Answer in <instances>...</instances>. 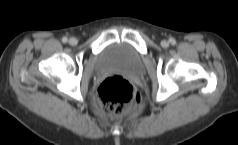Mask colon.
I'll return each mask as SVG.
<instances>
[{"mask_svg": "<svg viewBox=\"0 0 238 145\" xmlns=\"http://www.w3.org/2000/svg\"><path fill=\"white\" fill-rule=\"evenodd\" d=\"M97 99L106 114L116 117L133 112L141 101L137 88L119 75L106 78L98 86Z\"/></svg>", "mask_w": 238, "mask_h": 145, "instance_id": "obj_1", "label": "colon"}]
</instances>
